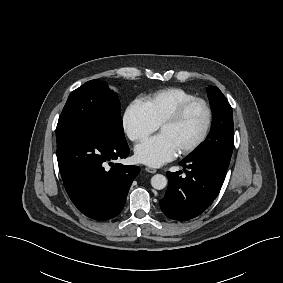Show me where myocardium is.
Returning a JSON list of instances; mask_svg holds the SVG:
<instances>
[{
  "instance_id": "1",
  "label": "myocardium",
  "mask_w": 283,
  "mask_h": 283,
  "mask_svg": "<svg viewBox=\"0 0 283 283\" xmlns=\"http://www.w3.org/2000/svg\"><path fill=\"white\" fill-rule=\"evenodd\" d=\"M200 104L203 106L206 112V123L204 126V129L201 133V135L191 144L187 145L186 147L182 148L178 153L180 155H188L195 150H197L207 139L212 123H213V111L210 106V104L203 98L200 97H194L190 100L185 101L182 103L171 115L166 117L160 124L159 129H161L163 126L168 125H176L182 121V119L185 117L186 113L189 111L190 108H192L194 105Z\"/></svg>"
}]
</instances>
